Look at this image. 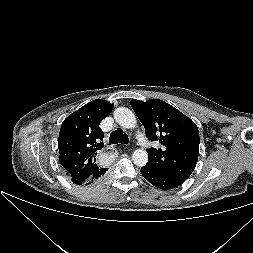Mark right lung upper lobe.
<instances>
[{
	"mask_svg": "<svg viewBox=\"0 0 253 253\" xmlns=\"http://www.w3.org/2000/svg\"><path fill=\"white\" fill-rule=\"evenodd\" d=\"M114 105L95 99L69 115L59 132V161L72 182L83 185L106 170L96 163L98 150L104 147L100 122Z\"/></svg>",
	"mask_w": 253,
	"mask_h": 253,
	"instance_id": "right-lung-upper-lobe-1",
	"label": "right lung upper lobe"
}]
</instances>
